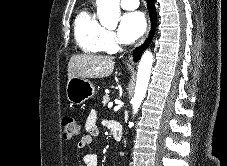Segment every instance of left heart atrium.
<instances>
[{"mask_svg": "<svg viewBox=\"0 0 227 166\" xmlns=\"http://www.w3.org/2000/svg\"><path fill=\"white\" fill-rule=\"evenodd\" d=\"M146 19L139 11L124 14L119 23L118 36L123 43H132L146 30Z\"/></svg>", "mask_w": 227, "mask_h": 166, "instance_id": "1", "label": "left heart atrium"}]
</instances>
